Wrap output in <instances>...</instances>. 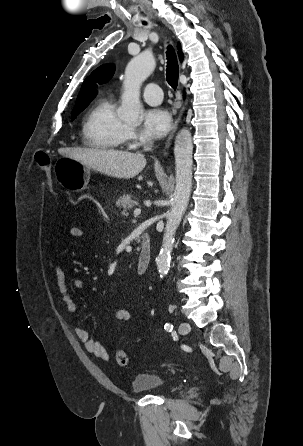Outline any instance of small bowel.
<instances>
[{
    "label": "small bowel",
    "instance_id": "1",
    "mask_svg": "<svg viewBox=\"0 0 303 446\" xmlns=\"http://www.w3.org/2000/svg\"><path fill=\"white\" fill-rule=\"evenodd\" d=\"M68 234L73 239H80L83 237L84 232L80 227L73 226L68 230ZM53 272L56 278L58 290L67 310L70 313H75L77 311V306L69 293V287H73L76 290H84L86 288L85 282L79 278H74L70 281V283H68L65 270L59 262L54 265ZM117 318L128 319L129 312L126 310H120L117 313ZM74 332L89 353L103 360L109 359V354L106 348L100 342L92 339L86 329L77 326L75 327Z\"/></svg>",
    "mask_w": 303,
    "mask_h": 446
}]
</instances>
